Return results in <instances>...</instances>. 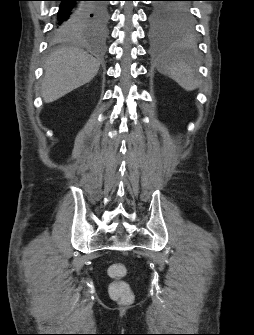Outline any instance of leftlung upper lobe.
Masks as SVG:
<instances>
[{
  "label": "left lung upper lobe",
  "mask_w": 254,
  "mask_h": 335,
  "mask_svg": "<svg viewBox=\"0 0 254 335\" xmlns=\"http://www.w3.org/2000/svg\"><path fill=\"white\" fill-rule=\"evenodd\" d=\"M155 1L150 14L151 33L154 36L191 32L194 20L190 11V0Z\"/></svg>",
  "instance_id": "left-lung-upper-lobe-1"
}]
</instances>
